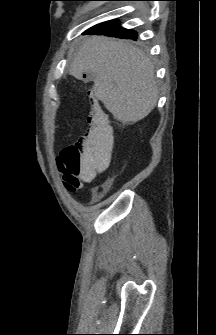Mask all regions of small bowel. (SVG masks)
<instances>
[{"mask_svg": "<svg viewBox=\"0 0 216 335\" xmlns=\"http://www.w3.org/2000/svg\"><path fill=\"white\" fill-rule=\"evenodd\" d=\"M111 141V140H110ZM112 153H113V151H112ZM102 173V172H101ZM82 179V184L81 185H78L76 188L77 189H80V188H82L83 187V185L85 184V183H88V182H90L91 180H93L94 178H81Z\"/></svg>", "mask_w": 216, "mask_h": 335, "instance_id": "c3829d8e", "label": "small bowel"}]
</instances>
